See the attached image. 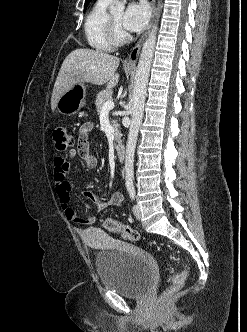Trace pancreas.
<instances>
[{
    "label": "pancreas",
    "instance_id": "pancreas-1",
    "mask_svg": "<svg viewBox=\"0 0 247 332\" xmlns=\"http://www.w3.org/2000/svg\"><path fill=\"white\" fill-rule=\"evenodd\" d=\"M113 98H112V91L111 90H104V91H101L97 97H96V102H95V105H96V110H97V113L100 114L101 111H102V107L104 105V103L106 101H111ZM111 125L112 127L114 128V136H115V140L116 141H120L121 139V134L118 130V123L117 121H111Z\"/></svg>",
    "mask_w": 247,
    "mask_h": 332
}]
</instances>
